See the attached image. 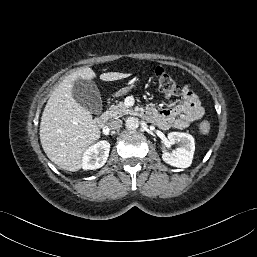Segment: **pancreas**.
<instances>
[{
    "instance_id": "1",
    "label": "pancreas",
    "mask_w": 257,
    "mask_h": 257,
    "mask_svg": "<svg viewBox=\"0 0 257 257\" xmlns=\"http://www.w3.org/2000/svg\"><path fill=\"white\" fill-rule=\"evenodd\" d=\"M128 114H133V110L126 107L123 102L112 105L108 111L109 118L111 119H118L119 117Z\"/></svg>"
}]
</instances>
